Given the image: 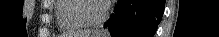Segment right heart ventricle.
I'll return each instance as SVG.
<instances>
[{"label": "right heart ventricle", "instance_id": "e07e8e85", "mask_svg": "<svg viewBox=\"0 0 219 37\" xmlns=\"http://www.w3.org/2000/svg\"><path fill=\"white\" fill-rule=\"evenodd\" d=\"M79 1L80 0H57L55 2L54 11L57 25L61 31L71 32L86 27L77 13Z\"/></svg>", "mask_w": 219, "mask_h": 37}]
</instances>
